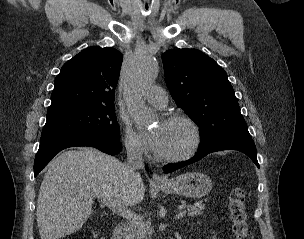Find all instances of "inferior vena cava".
Masks as SVG:
<instances>
[{
    "label": "inferior vena cava",
    "instance_id": "602c4592",
    "mask_svg": "<svg viewBox=\"0 0 304 239\" xmlns=\"http://www.w3.org/2000/svg\"><path fill=\"white\" fill-rule=\"evenodd\" d=\"M127 163L125 164V174L127 177L139 178L138 169L143 167L142 150L132 141H126Z\"/></svg>",
    "mask_w": 304,
    "mask_h": 239
}]
</instances>
